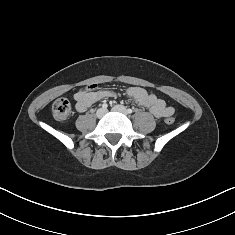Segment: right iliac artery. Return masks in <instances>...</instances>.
<instances>
[{
  "label": "right iliac artery",
  "instance_id": "obj_1",
  "mask_svg": "<svg viewBox=\"0 0 235 235\" xmlns=\"http://www.w3.org/2000/svg\"><path fill=\"white\" fill-rule=\"evenodd\" d=\"M107 107H108V105H107L106 103H104V104L102 105V108H103V109H107Z\"/></svg>",
  "mask_w": 235,
  "mask_h": 235
}]
</instances>
